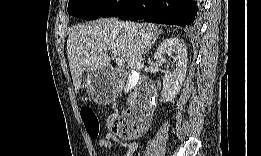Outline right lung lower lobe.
I'll use <instances>...</instances> for the list:
<instances>
[{
    "mask_svg": "<svg viewBox=\"0 0 261 156\" xmlns=\"http://www.w3.org/2000/svg\"><path fill=\"white\" fill-rule=\"evenodd\" d=\"M199 12V0H121L102 16L192 27Z\"/></svg>",
    "mask_w": 261,
    "mask_h": 156,
    "instance_id": "right-lung-lower-lobe-1",
    "label": "right lung lower lobe"
}]
</instances>
